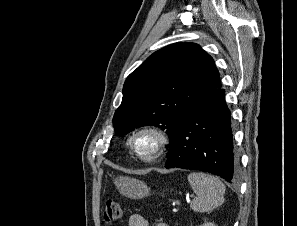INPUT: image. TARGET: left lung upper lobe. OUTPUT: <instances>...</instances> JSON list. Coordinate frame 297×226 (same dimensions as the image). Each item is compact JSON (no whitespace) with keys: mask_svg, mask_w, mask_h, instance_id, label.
Returning <instances> with one entry per match:
<instances>
[{"mask_svg":"<svg viewBox=\"0 0 297 226\" xmlns=\"http://www.w3.org/2000/svg\"><path fill=\"white\" fill-rule=\"evenodd\" d=\"M221 87L210 55L194 43H175L148 57L126 79L113 117L115 133L154 125L166 129L171 146L183 120L198 101Z\"/></svg>","mask_w":297,"mask_h":226,"instance_id":"obj_1","label":"left lung upper lobe"}]
</instances>
